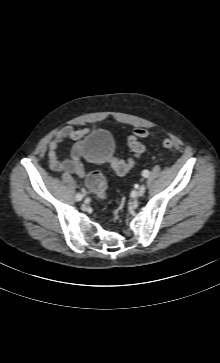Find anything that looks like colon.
Wrapping results in <instances>:
<instances>
[{"mask_svg":"<svg viewBox=\"0 0 220 363\" xmlns=\"http://www.w3.org/2000/svg\"><path fill=\"white\" fill-rule=\"evenodd\" d=\"M151 133L144 128H137L128 137L127 143L133 156L127 162L119 160L117 158H111L109 160L110 166L120 176L127 175L136 165L138 159L141 158L145 152V145L140 141L141 139L150 137ZM162 146L167 150L176 149L177 143L174 139L167 138L162 141ZM86 184L89 190L98 199H104L107 196V183L103 174L95 170L91 172L86 179Z\"/></svg>","mask_w":220,"mask_h":363,"instance_id":"obj_1","label":"colon"}]
</instances>
